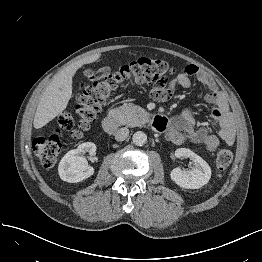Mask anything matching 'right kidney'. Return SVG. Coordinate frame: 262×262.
<instances>
[{"label": "right kidney", "mask_w": 262, "mask_h": 262, "mask_svg": "<svg viewBox=\"0 0 262 262\" xmlns=\"http://www.w3.org/2000/svg\"><path fill=\"white\" fill-rule=\"evenodd\" d=\"M95 151L96 145L92 142H86L66 153L58 166L60 178L69 183H76L90 177L94 173V169L88 166L83 155L85 153L93 154Z\"/></svg>", "instance_id": "1"}]
</instances>
